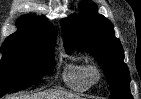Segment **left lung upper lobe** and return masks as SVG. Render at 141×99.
<instances>
[{
	"label": "left lung upper lobe",
	"instance_id": "5c2ea615",
	"mask_svg": "<svg viewBox=\"0 0 141 99\" xmlns=\"http://www.w3.org/2000/svg\"><path fill=\"white\" fill-rule=\"evenodd\" d=\"M96 10V5L87 1L81 6L79 15L62 20L65 49L68 53L75 50L90 52L110 82L112 98L133 99L121 43L115 37L112 23Z\"/></svg>",
	"mask_w": 141,
	"mask_h": 99
}]
</instances>
